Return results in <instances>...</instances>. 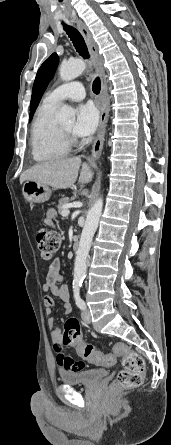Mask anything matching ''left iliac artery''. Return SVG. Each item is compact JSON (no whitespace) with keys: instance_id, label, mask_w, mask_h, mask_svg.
<instances>
[{"instance_id":"44dca946","label":"left iliac artery","mask_w":171,"mask_h":445,"mask_svg":"<svg viewBox=\"0 0 171 445\" xmlns=\"http://www.w3.org/2000/svg\"><path fill=\"white\" fill-rule=\"evenodd\" d=\"M80 285H75L73 287V292H74V299L76 302V305L80 308V309H85V302L84 300L81 298L80 296Z\"/></svg>"}]
</instances>
